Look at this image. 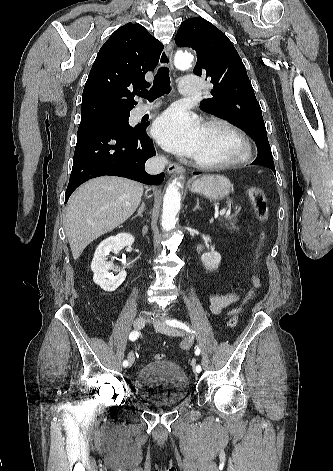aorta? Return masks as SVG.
I'll return each mask as SVG.
<instances>
[{
	"mask_svg": "<svg viewBox=\"0 0 333 471\" xmlns=\"http://www.w3.org/2000/svg\"><path fill=\"white\" fill-rule=\"evenodd\" d=\"M193 56L190 53H178L175 57V65L179 69H188L191 66ZM182 177H180L181 179ZM181 182L174 179L167 187L163 198V212L161 216V226L164 231L175 228L177 214L180 210L181 194L179 188Z\"/></svg>",
	"mask_w": 333,
	"mask_h": 471,
	"instance_id": "obj_1",
	"label": "aorta"
}]
</instances>
